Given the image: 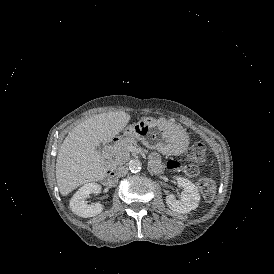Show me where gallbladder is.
Masks as SVG:
<instances>
[{
  "instance_id": "bac80fb5",
  "label": "gallbladder",
  "mask_w": 274,
  "mask_h": 274,
  "mask_svg": "<svg viewBox=\"0 0 274 274\" xmlns=\"http://www.w3.org/2000/svg\"><path fill=\"white\" fill-rule=\"evenodd\" d=\"M103 148H104V145L103 144H99L97 147H96V150L99 151L100 153L103 152Z\"/></svg>"
}]
</instances>
